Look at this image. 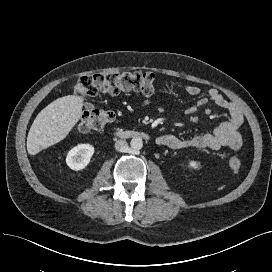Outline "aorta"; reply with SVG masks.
Returning a JSON list of instances; mask_svg holds the SVG:
<instances>
[{"instance_id": "aorta-1", "label": "aorta", "mask_w": 272, "mask_h": 272, "mask_svg": "<svg viewBox=\"0 0 272 272\" xmlns=\"http://www.w3.org/2000/svg\"><path fill=\"white\" fill-rule=\"evenodd\" d=\"M130 146L134 151H139L143 147V141L140 137H135L131 140Z\"/></svg>"}]
</instances>
